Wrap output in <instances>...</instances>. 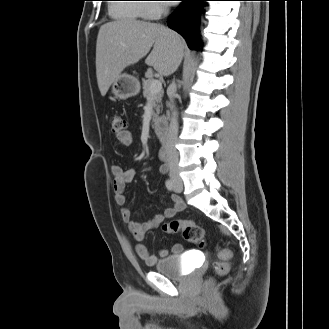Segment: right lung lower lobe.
Masks as SVG:
<instances>
[{
  "label": "right lung lower lobe",
  "instance_id": "98d812e1",
  "mask_svg": "<svg viewBox=\"0 0 329 329\" xmlns=\"http://www.w3.org/2000/svg\"><path fill=\"white\" fill-rule=\"evenodd\" d=\"M181 6L171 14L167 25L181 34L190 49H193L197 39V21L202 1L207 0H182Z\"/></svg>",
  "mask_w": 329,
  "mask_h": 329
}]
</instances>
